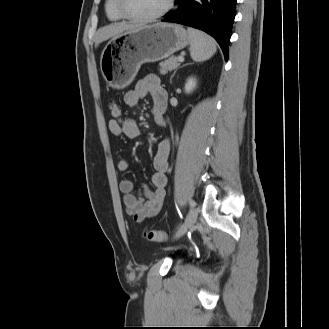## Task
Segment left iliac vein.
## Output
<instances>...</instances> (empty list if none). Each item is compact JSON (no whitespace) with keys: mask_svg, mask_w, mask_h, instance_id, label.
<instances>
[{"mask_svg":"<svg viewBox=\"0 0 329 329\" xmlns=\"http://www.w3.org/2000/svg\"><path fill=\"white\" fill-rule=\"evenodd\" d=\"M198 216V209L193 208L187 215L183 225H181L175 232L174 238H179L184 235L196 222Z\"/></svg>","mask_w":329,"mask_h":329,"instance_id":"4c4485c4","label":"left iliac vein"}]
</instances>
